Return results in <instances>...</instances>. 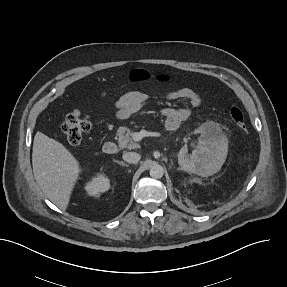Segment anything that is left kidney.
Returning a JSON list of instances; mask_svg holds the SVG:
<instances>
[{
	"label": "left kidney",
	"instance_id": "left-kidney-1",
	"mask_svg": "<svg viewBox=\"0 0 287 287\" xmlns=\"http://www.w3.org/2000/svg\"><path fill=\"white\" fill-rule=\"evenodd\" d=\"M201 138L192 154L186 146L178 154L179 165L188 173L208 177L217 173L225 162L228 151L226 136L215 125L200 128Z\"/></svg>",
	"mask_w": 287,
	"mask_h": 287
}]
</instances>
